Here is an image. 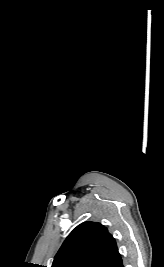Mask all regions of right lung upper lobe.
I'll return each instance as SVG.
<instances>
[{
	"mask_svg": "<svg viewBox=\"0 0 164 267\" xmlns=\"http://www.w3.org/2000/svg\"><path fill=\"white\" fill-rule=\"evenodd\" d=\"M118 252L115 239L97 222H84L66 238L52 267H100Z\"/></svg>",
	"mask_w": 164,
	"mask_h": 267,
	"instance_id": "cb5924a9",
	"label": "right lung upper lobe"
}]
</instances>
